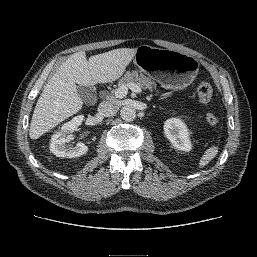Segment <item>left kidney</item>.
I'll return each mask as SVG.
<instances>
[{
  "instance_id": "left-kidney-1",
  "label": "left kidney",
  "mask_w": 257,
  "mask_h": 257,
  "mask_svg": "<svg viewBox=\"0 0 257 257\" xmlns=\"http://www.w3.org/2000/svg\"><path fill=\"white\" fill-rule=\"evenodd\" d=\"M164 133L171 144L178 150L190 151L191 142L185 123L178 118H170L164 123Z\"/></svg>"
}]
</instances>
